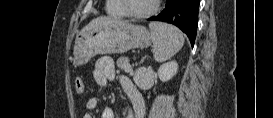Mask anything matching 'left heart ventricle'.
<instances>
[{"label": "left heart ventricle", "instance_id": "obj_1", "mask_svg": "<svg viewBox=\"0 0 273 118\" xmlns=\"http://www.w3.org/2000/svg\"><path fill=\"white\" fill-rule=\"evenodd\" d=\"M129 9L134 12H144L149 10L154 0H128Z\"/></svg>", "mask_w": 273, "mask_h": 118}]
</instances>
